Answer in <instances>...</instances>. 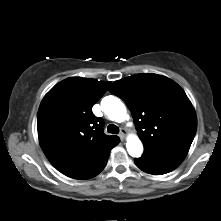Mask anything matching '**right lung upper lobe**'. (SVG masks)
Returning <instances> with one entry per match:
<instances>
[{"mask_svg":"<svg viewBox=\"0 0 221 221\" xmlns=\"http://www.w3.org/2000/svg\"><path fill=\"white\" fill-rule=\"evenodd\" d=\"M111 82L70 77L56 84L38 110V137L48 160L60 172L84 166L119 142L103 132L93 105Z\"/></svg>","mask_w":221,"mask_h":221,"instance_id":"right-lung-upper-lobe-1","label":"right lung upper lobe"}]
</instances>
